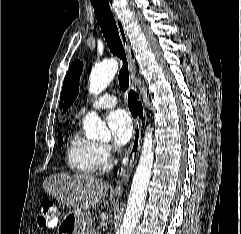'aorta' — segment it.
Segmentation results:
<instances>
[{"label": "aorta", "instance_id": "762f6f07", "mask_svg": "<svg viewBox=\"0 0 241 234\" xmlns=\"http://www.w3.org/2000/svg\"><path fill=\"white\" fill-rule=\"evenodd\" d=\"M117 71L118 62L115 59L96 64L90 74L89 92L95 95L101 93L112 81ZM83 128L85 135L89 139H108L111 136L106 124L94 112L89 113L85 117ZM153 161L152 131L149 128L143 140L142 152L133 177L123 223L117 234H132L134 227L140 219L145 204Z\"/></svg>", "mask_w": 241, "mask_h": 234}]
</instances>
